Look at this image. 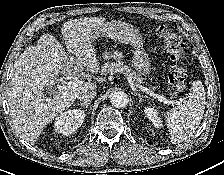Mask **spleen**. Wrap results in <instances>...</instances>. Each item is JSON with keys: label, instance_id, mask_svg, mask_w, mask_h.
Returning <instances> with one entry per match:
<instances>
[{"label": "spleen", "instance_id": "spleen-1", "mask_svg": "<svg viewBox=\"0 0 224 175\" xmlns=\"http://www.w3.org/2000/svg\"><path fill=\"white\" fill-rule=\"evenodd\" d=\"M205 100L204 86L196 80L191 85L187 102L167 112V127L173 144L181 143L195 132L204 114Z\"/></svg>", "mask_w": 224, "mask_h": 175}]
</instances>
